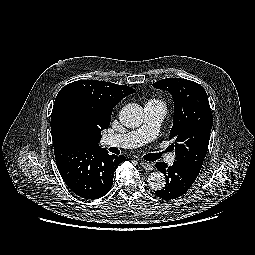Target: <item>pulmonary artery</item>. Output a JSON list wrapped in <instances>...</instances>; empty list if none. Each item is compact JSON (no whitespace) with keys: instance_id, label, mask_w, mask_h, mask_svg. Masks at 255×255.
I'll return each instance as SVG.
<instances>
[{"instance_id":"e3ab8cb5","label":"pulmonary artery","mask_w":255,"mask_h":255,"mask_svg":"<svg viewBox=\"0 0 255 255\" xmlns=\"http://www.w3.org/2000/svg\"><path fill=\"white\" fill-rule=\"evenodd\" d=\"M144 121L134 130L123 134H111L105 138L107 144L119 143L122 146L134 148L152 141L158 134L160 124L166 115V106L159 102H148L144 107ZM165 160L172 164L175 161L174 153H167Z\"/></svg>"}]
</instances>
